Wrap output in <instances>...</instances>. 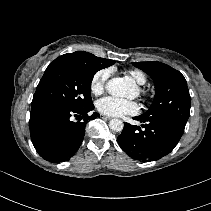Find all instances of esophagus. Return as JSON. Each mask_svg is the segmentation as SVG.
<instances>
[{"instance_id":"1","label":"esophagus","mask_w":211,"mask_h":211,"mask_svg":"<svg viewBox=\"0 0 211 211\" xmlns=\"http://www.w3.org/2000/svg\"><path fill=\"white\" fill-rule=\"evenodd\" d=\"M101 116H102L103 119H106V120L111 119V117L110 116H107V115H101Z\"/></svg>"}]
</instances>
